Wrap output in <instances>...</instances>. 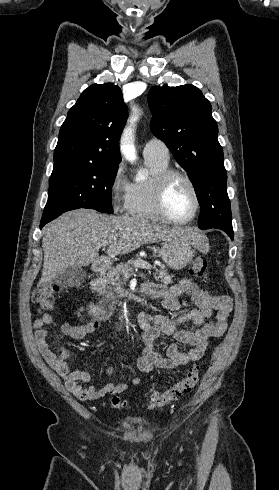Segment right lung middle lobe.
<instances>
[{
  "label": "right lung middle lobe",
  "instance_id": "dd1d6c3e",
  "mask_svg": "<svg viewBox=\"0 0 279 490\" xmlns=\"http://www.w3.org/2000/svg\"><path fill=\"white\" fill-rule=\"evenodd\" d=\"M119 163L73 162L54 165L41 221L49 222L63 212L78 208L112 214L111 193Z\"/></svg>",
  "mask_w": 279,
  "mask_h": 490
}]
</instances>
